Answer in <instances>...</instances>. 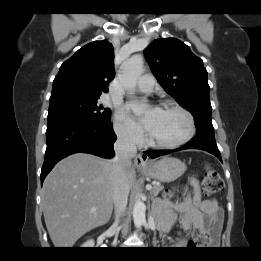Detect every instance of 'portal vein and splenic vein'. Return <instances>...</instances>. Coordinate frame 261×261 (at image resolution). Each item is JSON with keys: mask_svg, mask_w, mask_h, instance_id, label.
<instances>
[{"mask_svg": "<svg viewBox=\"0 0 261 261\" xmlns=\"http://www.w3.org/2000/svg\"><path fill=\"white\" fill-rule=\"evenodd\" d=\"M146 189H147V190H151V189H152V186H151V185H147V186H146Z\"/></svg>", "mask_w": 261, "mask_h": 261, "instance_id": "1", "label": "portal vein and splenic vein"}]
</instances>
